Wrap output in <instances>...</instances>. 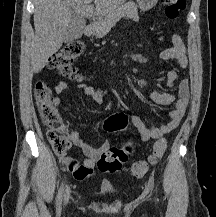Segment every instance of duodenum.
I'll use <instances>...</instances> for the list:
<instances>
[{
    "label": "duodenum",
    "mask_w": 216,
    "mask_h": 217,
    "mask_svg": "<svg viewBox=\"0 0 216 217\" xmlns=\"http://www.w3.org/2000/svg\"><path fill=\"white\" fill-rule=\"evenodd\" d=\"M92 31V24H88L85 26V33L89 34Z\"/></svg>",
    "instance_id": "1"
}]
</instances>
